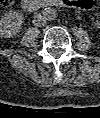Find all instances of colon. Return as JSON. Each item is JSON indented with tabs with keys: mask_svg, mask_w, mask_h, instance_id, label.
Listing matches in <instances>:
<instances>
[{
	"mask_svg": "<svg viewBox=\"0 0 100 118\" xmlns=\"http://www.w3.org/2000/svg\"><path fill=\"white\" fill-rule=\"evenodd\" d=\"M14 0H0L1 6L3 8H8L13 4ZM86 1L85 4H83V6L87 7V8H93L95 6V0H84Z\"/></svg>",
	"mask_w": 100,
	"mask_h": 118,
	"instance_id": "1",
	"label": "colon"
}]
</instances>
